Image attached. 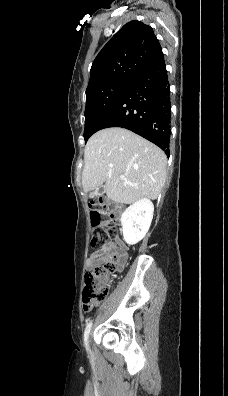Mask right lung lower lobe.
Returning <instances> with one entry per match:
<instances>
[{"label": "right lung lower lobe", "mask_w": 228, "mask_h": 396, "mask_svg": "<svg viewBox=\"0 0 228 396\" xmlns=\"http://www.w3.org/2000/svg\"><path fill=\"white\" fill-rule=\"evenodd\" d=\"M170 89L163 53L136 77L96 126L133 131L170 155Z\"/></svg>", "instance_id": "1"}]
</instances>
